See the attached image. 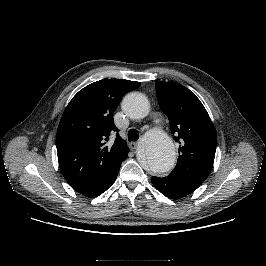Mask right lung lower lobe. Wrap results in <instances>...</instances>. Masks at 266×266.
<instances>
[{
	"label": "right lung lower lobe",
	"mask_w": 266,
	"mask_h": 266,
	"mask_svg": "<svg viewBox=\"0 0 266 266\" xmlns=\"http://www.w3.org/2000/svg\"><path fill=\"white\" fill-rule=\"evenodd\" d=\"M119 169L120 167L116 169L111 175L103 179L101 182L87 188L76 189V191L89 198H94L101 195L114 183Z\"/></svg>",
	"instance_id": "1"
}]
</instances>
